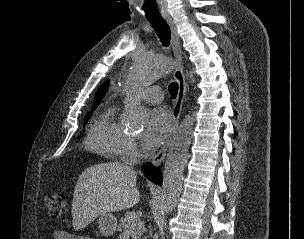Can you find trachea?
<instances>
[{
    "instance_id": "3493384b",
    "label": "trachea",
    "mask_w": 304,
    "mask_h": 239,
    "mask_svg": "<svg viewBox=\"0 0 304 239\" xmlns=\"http://www.w3.org/2000/svg\"><path fill=\"white\" fill-rule=\"evenodd\" d=\"M147 7V19L152 24L156 34L158 35L161 43L168 46L170 43V29L167 23L163 20L161 12H159V3L156 0H145ZM169 93L172 98H176L178 93V83L172 82L169 85Z\"/></svg>"
}]
</instances>
